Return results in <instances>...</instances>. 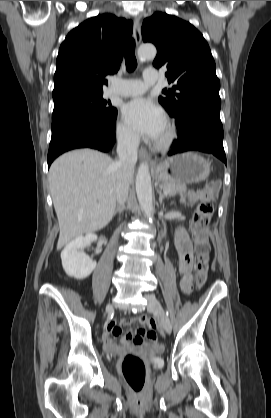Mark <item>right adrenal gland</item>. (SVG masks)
<instances>
[{"label": "right adrenal gland", "mask_w": 271, "mask_h": 418, "mask_svg": "<svg viewBox=\"0 0 271 418\" xmlns=\"http://www.w3.org/2000/svg\"><path fill=\"white\" fill-rule=\"evenodd\" d=\"M123 210H124V205L117 206L114 214L121 213Z\"/></svg>", "instance_id": "1"}]
</instances>
